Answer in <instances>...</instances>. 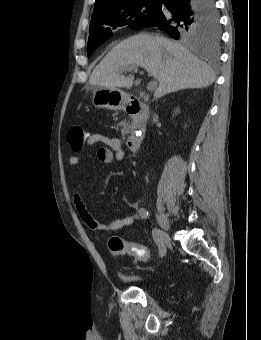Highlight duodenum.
<instances>
[{"label": "duodenum", "mask_w": 261, "mask_h": 340, "mask_svg": "<svg viewBox=\"0 0 261 340\" xmlns=\"http://www.w3.org/2000/svg\"><path fill=\"white\" fill-rule=\"evenodd\" d=\"M126 112L133 117V131L127 137L126 145L132 152H137L144 138L147 106L140 99H131L126 104Z\"/></svg>", "instance_id": "1"}]
</instances>
